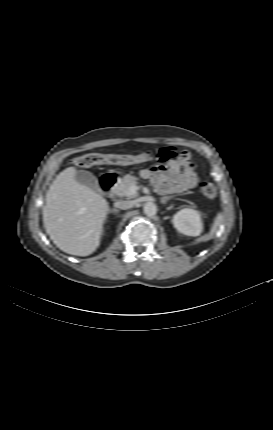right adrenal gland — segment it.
I'll list each match as a JSON object with an SVG mask.
<instances>
[{
	"label": "right adrenal gland",
	"mask_w": 273,
	"mask_h": 430,
	"mask_svg": "<svg viewBox=\"0 0 273 430\" xmlns=\"http://www.w3.org/2000/svg\"><path fill=\"white\" fill-rule=\"evenodd\" d=\"M110 213H114V214H116V215L118 216V214H119V210H118V209H116V208L108 209L107 214H110Z\"/></svg>",
	"instance_id": "2a0ac1e0"
}]
</instances>
